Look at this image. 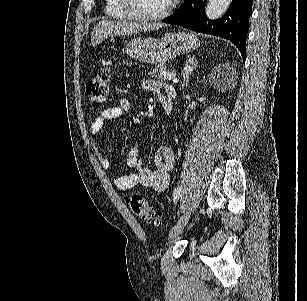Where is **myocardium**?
<instances>
[{"mask_svg": "<svg viewBox=\"0 0 307 301\" xmlns=\"http://www.w3.org/2000/svg\"><path fill=\"white\" fill-rule=\"evenodd\" d=\"M133 1L135 0H119L118 6L120 7V15L116 16L128 17L129 22H161L162 17H167L168 12L173 5V1L168 0L167 3L162 6L160 11H133L131 9V3Z\"/></svg>", "mask_w": 307, "mask_h": 301, "instance_id": "myocardium-1", "label": "myocardium"}]
</instances>
